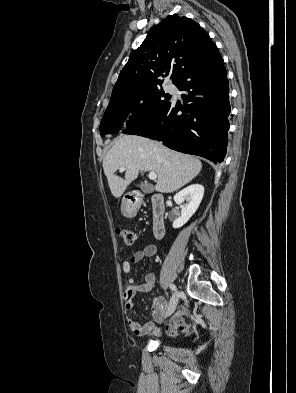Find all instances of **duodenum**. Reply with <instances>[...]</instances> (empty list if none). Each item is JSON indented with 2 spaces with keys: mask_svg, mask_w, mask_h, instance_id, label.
<instances>
[{
  "mask_svg": "<svg viewBox=\"0 0 296 393\" xmlns=\"http://www.w3.org/2000/svg\"><path fill=\"white\" fill-rule=\"evenodd\" d=\"M142 194L135 191L127 196L126 202L129 208L136 212L140 206ZM152 203V230L157 239H162L165 235V201L163 195L157 193L151 197Z\"/></svg>",
  "mask_w": 296,
  "mask_h": 393,
  "instance_id": "duodenum-1",
  "label": "duodenum"
}]
</instances>
